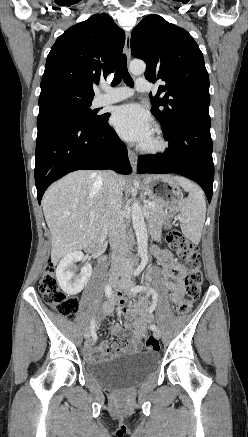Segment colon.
Segmentation results:
<instances>
[{
	"label": "colon",
	"mask_w": 248,
	"mask_h": 437,
	"mask_svg": "<svg viewBox=\"0 0 248 437\" xmlns=\"http://www.w3.org/2000/svg\"><path fill=\"white\" fill-rule=\"evenodd\" d=\"M170 246L176 250L187 267L185 277V297L177 304L179 314H187L193 303L201 294L203 275L199 260L198 248L186 239L180 232L173 231L167 237ZM40 293L44 301L66 318H73L78 310V300L63 292L55 276V265H46L39 284ZM160 344L157 338L149 336L146 340L147 351H158Z\"/></svg>",
	"instance_id": "1"
}]
</instances>
